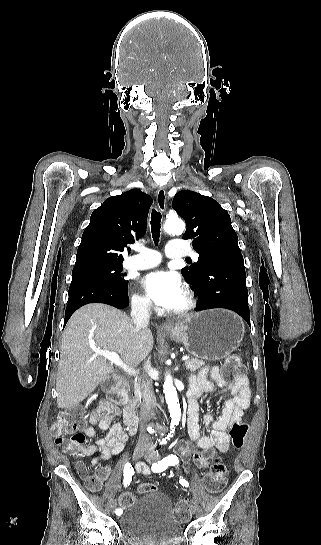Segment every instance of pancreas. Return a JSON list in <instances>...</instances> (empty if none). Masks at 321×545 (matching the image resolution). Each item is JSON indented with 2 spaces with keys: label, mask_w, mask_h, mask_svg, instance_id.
Masks as SVG:
<instances>
[{
  "label": "pancreas",
  "mask_w": 321,
  "mask_h": 545,
  "mask_svg": "<svg viewBox=\"0 0 321 545\" xmlns=\"http://www.w3.org/2000/svg\"><path fill=\"white\" fill-rule=\"evenodd\" d=\"M205 365L204 361H201V359H188V361H185V367L187 371H198V369H201ZM142 387L139 383V381H133V391L134 395L137 397V401H140L143 393L141 391ZM126 399H128V393L125 391L124 393Z\"/></svg>",
  "instance_id": "1"
}]
</instances>
